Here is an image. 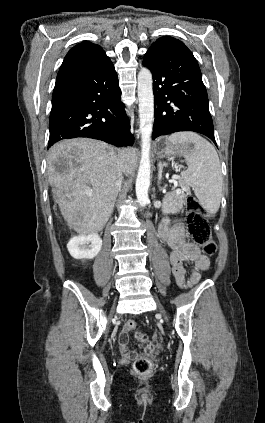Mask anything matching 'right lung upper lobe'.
Segmentation results:
<instances>
[{
    "instance_id": "cb5924a9",
    "label": "right lung upper lobe",
    "mask_w": 265,
    "mask_h": 423,
    "mask_svg": "<svg viewBox=\"0 0 265 423\" xmlns=\"http://www.w3.org/2000/svg\"><path fill=\"white\" fill-rule=\"evenodd\" d=\"M87 59L110 60L99 45L85 41L74 46L67 53L63 64Z\"/></svg>"
}]
</instances>
